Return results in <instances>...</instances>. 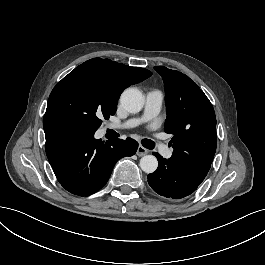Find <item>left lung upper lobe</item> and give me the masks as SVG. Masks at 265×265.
Wrapping results in <instances>:
<instances>
[{"instance_id": "1", "label": "left lung upper lobe", "mask_w": 265, "mask_h": 265, "mask_svg": "<svg viewBox=\"0 0 265 265\" xmlns=\"http://www.w3.org/2000/svg\"><path fill=\"white\" fill-rule=\"evenodd\" d=\"M154 69L162 76L166 92L165 131L173 134L170 144L174 151L169 160L202 182L217 146L213 106L185 74L163 66Z\"/></svg>"}]
</instances>
